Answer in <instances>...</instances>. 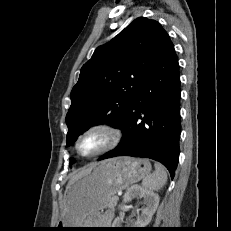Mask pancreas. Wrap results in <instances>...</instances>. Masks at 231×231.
<instances>
[{
  "label": "pancreas",
  "instance_id": "cf45deb5",
  "mask_svg": "<svg viewBox=\"0 0 231 231\" xmlns=\"http://www.w3.org/2000/svg\"><path fill=\"white\" fill-rule=\"evenodd\" d=\"M117 200L118 199H115V196H113L109 201L108 207L109 208H114L117 205Z\"/></svg>",
  "mask_w": 231,
  "mask_h": 231
}]
</instances>
